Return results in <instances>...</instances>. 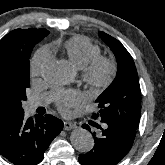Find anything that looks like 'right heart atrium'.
Instances as JSON below:
<instances>
[{
    "label": "right heart atrium",
    "mask_w": 165,
    "mask_h": 165,
    "mask_svg": "<svg viewBox=\"0 0 165 165\" xmlns=\"http://www.w3.org/2000/svg\"><path fill=\"white\" fill-rule=\"evenodd\" d=\"M50 58H51V54L48 49L41 48L37 50L30 64L31 75L34 77L39 76L43 68L49 62Z\"/></svg>",
    "instance_id": "right-heart-atrium-1"
}]
</instances>
